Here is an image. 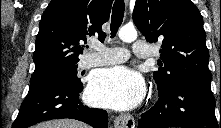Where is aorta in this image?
Segmentation results:
<instances>
[{
  "mask_svg": "<svg viewBox=\"0 0 221 128\" xmlns=\"http://www.w3.org/2000/svg\"><path fill=\"white\" fill-rule=\"evenodd\" d=\"M119 38L124 42H133L137 39V31L133 27H122L118 31Z\"/></svg>",
  "mask_w": 221,
  "mask_h": 128,
  "instance_id": "aorta-1",
  "label": "aorta"
}]
</instances>
